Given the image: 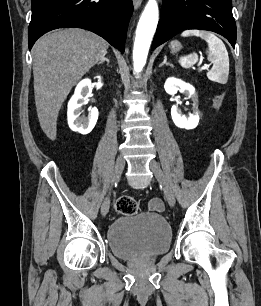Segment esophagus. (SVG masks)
Masks as SVG:
<instances>
[{"mask_svg":"<svg viewBox=\"0 0 261 306\" xmlns=\"http://www.w3.org/2000/svg\"><path fill=\"white\" fill-rule=\"evenodd\" d=\"M142 0H133V5L135 9H138L141 6Z\"/></svg>","mask_w":261,"mask_h":306,"instance_id":"esophagus-1","label":"esophagus"}]
</instances>
